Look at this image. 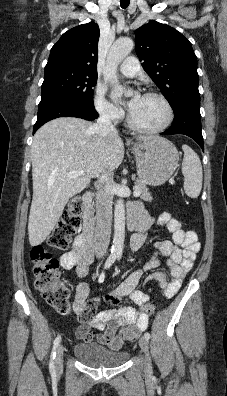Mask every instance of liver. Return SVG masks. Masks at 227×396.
<instances>
[{
    "label": "liver",
    "instance_id": "6515ba94",
    "mask_svg": "<svg viewBox=\"0 0 227 396\" xmlns=\"http://www.w3.org/2000/svg\"><path fill=\"white\" fill-rule=\"evenodd\" d=\"M123 158L124 144L117 132L103 137L95 130V124L76 117H60L44 124L35 133L31 147V246L41 244L49 236L71 197L83 191L92 178L117 169ZM73 171L83 174L68 177Z\"/></svg>",
    "mask_w": 227,
    "mask_h": 396
}]
</instances>
